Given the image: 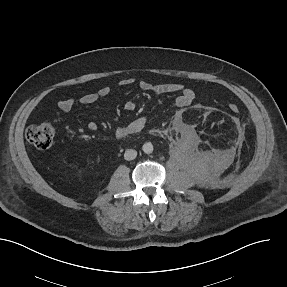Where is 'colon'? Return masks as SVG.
Returning <instances> with one entry per match:
<instances>
[{
  "instance_id": "1",
  "label": "colon",
  "mask_w": 287,
  "mask_h": 287,
  "mask_svg": "<svg viewBox=\"0 0 287 287\" xmlns=\"http://www.w3.org/2000/svg\"><path fill=\"white\" fill-rule=\"evenodd\" d=\"M229 110L238 113L240 107L236 103L229 104ZM27 140L37 149L46 150L53 142L54 128L48 122H39L28 127L26 131Z\"/></svg>"
}]
</instances>
